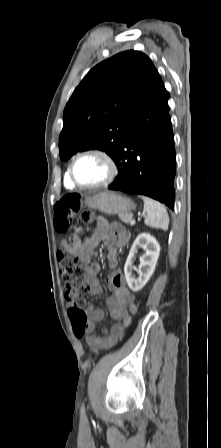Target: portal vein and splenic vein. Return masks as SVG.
I'll use <instances>...</instances> for the list:
<instances>
[{
  "mask_svg": "<svg viewBox=\"0 0 221 448\" xmlns=\"http://www.w3.org/2000/svg\"><path fill=\"white\" fill-rule=\"evenodd\" d=\"M130 225H131V226L135 225V220H131V221H130Z\"/></svg>",
  "mask_w": 221,
  "mask_h": 448,
  "instance_id": "obj_1",
  "label": "portal vein and splenic vein"
}]
</instances>
